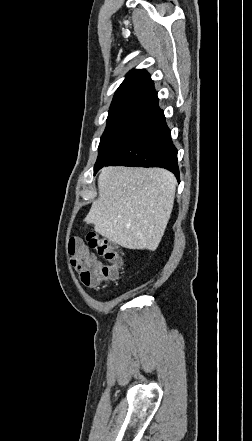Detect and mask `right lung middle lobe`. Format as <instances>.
Returning a JSON list of instances; mask_svg holds the SVG:
<instances>
[{"label": "right lung middle lobe", "mask_w": 252, "mask_h": 441, "mask_svg": "<svg viewBox=\"0 0 252 441\" xmlns=\"http://www.w3.org/2000/svg\"><path fill=\"white\" fill-rule=\"evenodd\" d=\"M146 105L147 102H136L110 108L95 166L106 162L115 153L140 119Z\"/></svg>", "instance_id": "obj_1"}]
</instances>
